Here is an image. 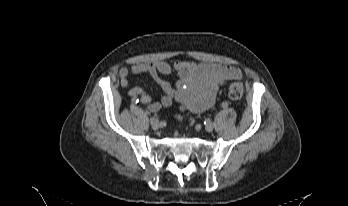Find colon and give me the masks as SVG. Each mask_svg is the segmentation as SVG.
Returning a JSON list of instances; mask_svg holds the SVG:
<instances>
[{"label":"colon","instance_id":"5ec220e1","mask_svg":"<svg viewBox=\"0 0 348 206\" xmlns=\"http://www.w3.org/2000/svg\"><path fill=\"white\" fill-rule=\"evenodd\" d=\"M244 93L243 85L239 82L231 83L228 88L229 98L233 101L242 99Z\"/></svg>","mask_w":348,"mask_h":206}]
</instances>
